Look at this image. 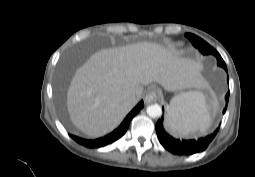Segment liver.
<instances>
[{
	"instance_id": "6515ba94",
	"label": "liver",
	"mask_w": 255,
	"mask_h": 177,
	"mask_svg": "<svg viewBox=\"0 0 255 177\" xmlns=\"http://www.w3.org/2000/svg\"><path fill=\"white\" fill-rule=\"evenodd\" d=\"M157 82L165 90L203 87L199 68L191 60L150 42L97 51L79 67L67 92V108L73 124L89 137L114 130L138 99L143 86Z\"/></svg>"
}]
</instances>
